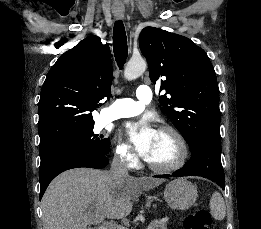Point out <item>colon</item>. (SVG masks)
Returning <instances> with one entry per match:
<instances>
[{
	"mask_svg": "<svg viewBox=\"0 0 261 229\" xmlns=\"http://www.w3.org/2000/svg\"><path fill=\"white\" fill-rule=\"evenodd\" d=\"M211 224V215L206 209L191 212L184 219V229H210Z\"/></svg>",
	"mask_w": 261,
	"mask_h": 229,
	"instance_id": "obj_1",
	"label": "colon"
}]
</instances>
